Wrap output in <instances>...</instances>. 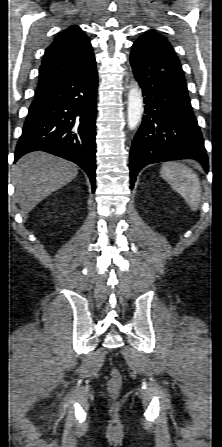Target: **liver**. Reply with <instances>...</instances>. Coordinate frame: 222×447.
<instances>
[{"label":"liver","mask_w":222,"mask_h":447,"mask_svg":"<svg viewBox=\"0 0 222 447\" xmlns=\"http://www.w3.org/2000/svg\"><path fill=\"white\" fill-rule=\"evenodd\" d=\"M76 164L44 152H32L18 160L12 170L15 197L28 213L47 196L71 182Z\"/></svg>","instance_id":"1"}]
</instances>
